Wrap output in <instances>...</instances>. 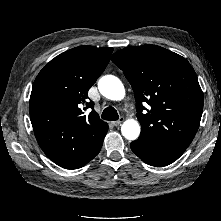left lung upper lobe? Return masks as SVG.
Here are the masks:
<instances>
[{
  "mask_svg": "<svg viewBox=\"0 0 221 221\" xmlns=\"http://www.w3.org/2000/svg\"><path fill=\"white\" fill-rule=\"evenodd\" d=\"M112 61L133 88L139 139L187 149L203 111V93L189 62L151 44L119 50ZM146 103L150 109L143 106Z\"/></svg>",
  "mask_w": 221,
  "mask_h": 221,
  "instance_id": "left-lung-upper-lobe-1",
  "label": "left lung upper lobe"
}]
</instances>
